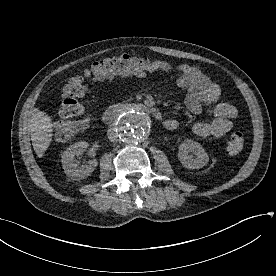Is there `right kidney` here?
<instances>
[{"label":"right kidney","mask_w":276,"mask_h":276,"mask_svg":"<svg viewBox=\"0 0 276 276\" xmlns=\"http://www.w3.org/2000/svg\"><path fill=\"white\" fill-rule=\"evenodd\" d=\"M89 144L85 141L74 143L69 146L62 155V167L65 174L73 180L85 179L96 168L98 162L96 160H91L88 162V165L79 168V161L75 158L76 155L82 154Z\"/></svg>","instance_id":"1"}]
</instances>
